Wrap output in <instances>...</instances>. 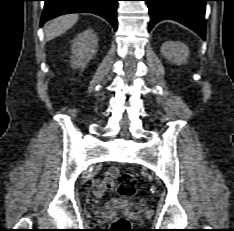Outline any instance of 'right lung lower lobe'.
I'll return each instance as SVG.
<instances>
[{
    "instance_id": "1",
    "label": "right lung lower lobe",
    "mask_w": 234,
    "mask_h": 231,
    "mask_svg": "<svg viewBox=\"0 0 234 231\" xmlns=\"http://www.w3.org/2000/svg\"><path fill=\"white\" fill-rule=\"evenodd\" d=\"M45 6L41 25L59 15L75 12H89L105 18L117 29L116 2L118 0H44Z\"/></svg>"
}]
</instances>
